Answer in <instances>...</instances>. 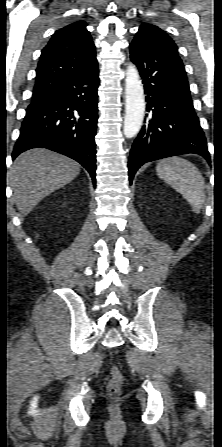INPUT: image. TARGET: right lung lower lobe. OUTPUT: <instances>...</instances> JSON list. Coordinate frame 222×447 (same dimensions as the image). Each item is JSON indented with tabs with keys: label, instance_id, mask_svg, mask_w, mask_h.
Returning <instances> with one entry per match:
<instances>
[{
	"label": "right lung lower lobe",
	"instance_id": "right-lung-lower-lobe-1",
	"mask_svg": "<svg viewBox=\"0 0 222 447\" xmlns=\"http://www.w3.org/2000/svg\"><path fill=\"white\" fill-rule=\"evenodd\" d=\"M98 73L95 60L46 97L32 101L26 109L13 160L28 149L47 148L79 162L95 186Z\"/></svg>",
	"mask_w": 222,
	"mask_h": 447
}]
</instances>
